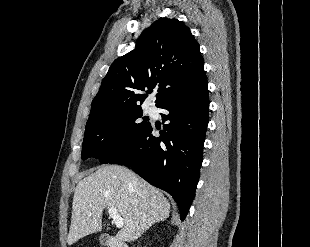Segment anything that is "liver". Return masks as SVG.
Listing matches in <instances>:
<instances>
[{
    "label": "liver",
    "instance_id": "1",
    "mask_svg": "<svg viewBox=\"0 0 310 247\" xmlns=\"http://www.w3.org/2000/svg\"><path fill=\"white\" fill-rule=\"evenodd\" d=\"M111 207L123 218L124 226L116 237L125 242L138 239L170 213V203L164 195L131 170L117 165L101 166L76 186L67 243L72 245L100 231L103 210Z\"/></svg>",
    "mask_w": 310,
    "mask_h": 247
}]
</instances>
